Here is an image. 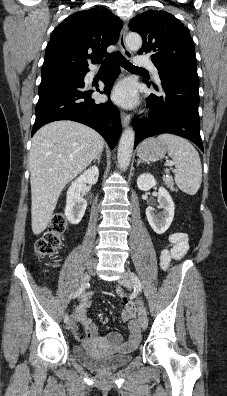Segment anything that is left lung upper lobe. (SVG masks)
I'll use <instances>...</instances> for the list:
<instances>
[{"instance_id":"1","label":"left lung upper lobe","mask_w":227,"mask_h":396,"mask_svg":"<svg viewBox=\"0 0 227 396\" xmlns=\"http://www.w3.org/2000/svg\"><path fill=\"white\" fill-rule=\"evenodd\" d=\"M131 31L143 38L138 54L151 53L158 73L198 78L194 42L189 30L172 14L147 11L130 20Z\"/></svg>"}]
</instances>
